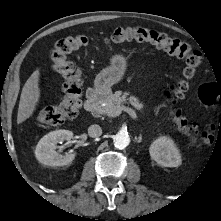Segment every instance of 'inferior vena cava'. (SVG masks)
<instances>
[{
  "label": "inferior vena cava",
  "mask_w": 221,
  "mask_h": 221,
  "mask_svg": "<svg viewBox=\"0 0 221 221\" xmlns=\"http://www.w3.org/2000/svg\"><path fill=\"white\" fill-rule=\"evenodd\" d=\"M88 134L90 137L95 138L102 135V129L99 125L94 124L89 126L88 128Z\"/></svg>",
  "instance_id": "obj_1"
}]
</instances>
